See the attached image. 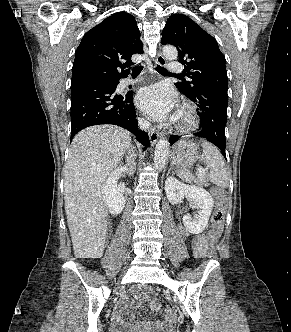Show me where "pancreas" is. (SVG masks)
<instances>
[{
    "instance_id": "cf45deb5",
    "label": "pancreas",
    "mask_w": 291,
    "mask_h": 332,
    "mask_svg": "<svg viewBox=\"0 0 291 332\" xmlns=\"http://www.w3.org/2000/svg\"><path fill=\"white\" fill-rule=\"evenodd\" d=\"M196 183L200 186H209L208 177L206 175L199 176Z\"/></svg>"
}]
</instances>
